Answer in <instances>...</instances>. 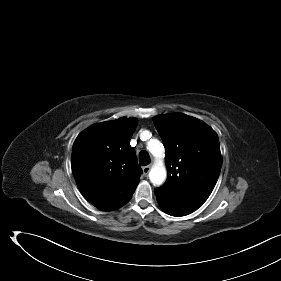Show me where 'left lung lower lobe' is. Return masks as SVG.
<instances>
[{"mask_svg": "<svg viewBox=\"0 0 281 281\" xmlns=\"http://www.w3.org/2000/svg\"><path fill=\"white\" fill-rule=\"evenodd\" d=\"M155 195L161 208L171 216H185L197 210L204 202L194 199L190 194L157 188Z\"/></svg>", "mask_w": 281, "mask_h": 281, "instance_id": "0a47b994", "label": "left lung lower lobe"}]
</instances>
